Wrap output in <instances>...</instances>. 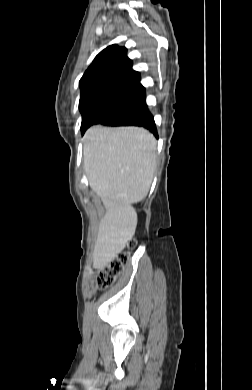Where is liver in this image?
<instances>
[{
	"label": "liver",
	"instance_id": "1",
	"mask_svg": "<svg viewBox=\"0 0 252 390\" xmlns=\"http://www.w3.org/2000/svg\"><path fill=\"white\" fill-rule=\"evenodd\" d=\"M84 167L91 189L106 209L93 251V266L103 268L134 235L131 205L143 200L156 169V140L139 127L89 128L84 135Z\"/></svg>",
	"mask_w": 252,
	"mask_h": 390
}]
</instances>
